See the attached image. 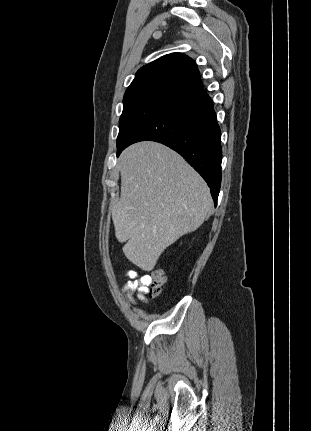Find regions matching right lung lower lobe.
Masks as SVG:
<instances>
[{
    "mask_svg": "<svg viewBox=\"0 0 311 431\" xmlns=\"http://www.w3.org/2000/svg\"><path fill=\"white\" fill-rule=\"evenodd\" d=\"M220 138L212 101L201 89L156 113L133 133L125 148L139 141H156L172 148L204 178L216 206L221 184Z\"/></svg>",
    "mask_w": 311,
    "mask_h": 431,
    "instance_id": "1",
    "label": "right lung lower lobe"
}]
</instances>
